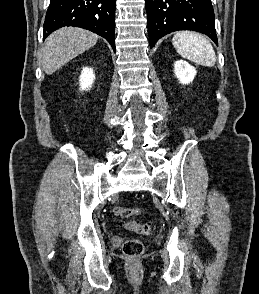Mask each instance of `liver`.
<instances>
[{"mask_svg": "<svg viewBox=\"0 0 259 294\" xmlns=\"http://www.w3.org/2000/svg\"><path fill=\"white\" fill-rule=\"evenodd\" d=\"M98 35L78 27H64L53 32L45 41L42 67L52 74L69 61L93 47Z\"/></svg>", "mask_w": 259, "mask_h": 294, "instance_id": "1", "label": "liver"}]
</instances>
